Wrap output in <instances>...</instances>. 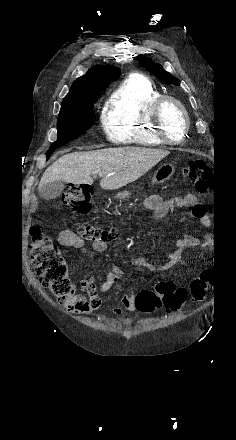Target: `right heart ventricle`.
<instances>
[{"mask_svg":"<svg viewBox=\"0 0 236 440\" xmlns=\"http://www.w3.org/2000/svg\"><path fill=\"white\" fill-rule=\"evenodd\" d=\"M162 93L148 77L130 74L110 95L103 111L107 139L115 144L161 146L149 118L150 107Z\"/></svg>","mask_w":236,"mask_h":440,"instance_id":"1","label":"right heart ventricle"}]
</instances>
